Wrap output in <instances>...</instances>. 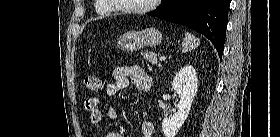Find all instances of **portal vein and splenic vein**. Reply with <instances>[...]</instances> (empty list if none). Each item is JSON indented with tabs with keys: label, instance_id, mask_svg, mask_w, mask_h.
<instances>
[{
	"label": "portal vein and splenic vein",
	"instance_id": "18ae733b",
	"mask_svg": "<svg viewBox=\"0 0 280 137\" xmlns=\"http://www.w3.org/2000/svg\"><path fill=\"white\" fill-rule=\"evenodd\" d=\"M164 59H165L164 57H161V58H160V60H164Z\"/></svg>",
	"mask_w": 280,
	"mask_h": 137
}]
</instances>
